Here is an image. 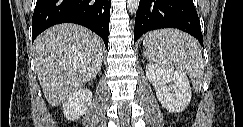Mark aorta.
<instances>
[{"label":"aorta","mask_w":243,"mask_h":127,"mask_svg":"<svg viewBox=\"0 0 243 127\" xmlns=\"http://www.w3.org/2000/svg\"><path fill=\"white\" fill-rule=\"evenodd\" d=\"M140 0H127V8L130 14H134L139 6Z\"/></svg>","instance_id":"1"}]
</instances>
